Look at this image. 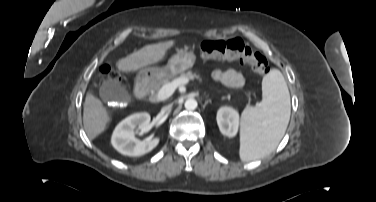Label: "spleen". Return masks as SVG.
<instances>
[{
  "mask_svg": "<svg viewBox=\"0 0 376 202\" xmlns=\"http://www.w3.org/2000/svg\"><path fill=\"white\" fill-rule=\"evenodd\" d=\"M263 98L254 108H246L240 121V158L251 161L271 153L283 138L290 119V94L278 69L262 80Z\"/></svg>",
  "mask_w": 376,
  "mask_h": 202,
  "instance_id": "1",
  "label": "spleen"
}]
</instances>
